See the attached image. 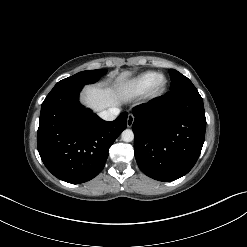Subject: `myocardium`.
I'll return each mask as SVG.
<instances>
[{
  "instance_id": "myocardium-1",
  "label": "myocardium",
  "mask_w": 247,
  "mask_h": 247,
  "mask_svg": "<svg viewBox=\"0 0 247 247\" xmlns=\"http://www.w3.org/2000/svg\"><path fill=\"white\" fill-rule=\"evenodd\" d=\"M166 85V77L163 74H158L150 88V91L154 95H159L164 92Z\"/></svg>"
}]
</instances>
